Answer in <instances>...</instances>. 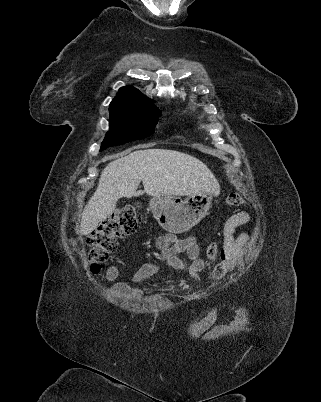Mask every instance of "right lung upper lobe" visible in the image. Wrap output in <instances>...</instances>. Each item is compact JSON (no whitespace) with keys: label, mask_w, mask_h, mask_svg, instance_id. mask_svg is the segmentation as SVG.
Masks as SVG:
<instances>
[{"label":"right lung upper lobe","mask_w":321,"mask_h":402,"mask_svg":"<svg viewBox=\"0 0 321 402\" xmlns=\"http://www.w3.org/2000/svg\"><path fill=\"white\" fill-rule=\"evenodd\" d=\"M150 100L133 86L121 87L111 103L125 104L138 107L156 108Z\"/></svg>","instance_id":"cb5924a9"}]
</instances>
